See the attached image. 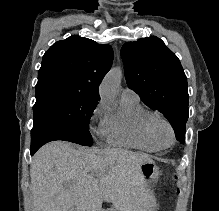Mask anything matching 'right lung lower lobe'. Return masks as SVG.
Returning <instances> with one entry per match:
<instances>
[{
	"instance_id": "1",
	"label": "right lung lower lobe",
	"mask_w": 219,
	"mask_h": 211,
	"mask_svg": "<svg viewBox=\"0 0 219 211\" xmlns=\"http://www.w3.org/2000/svg\"><path fill=\"white\" fill-rule=\"evenodd\" d=\"M54 140H64L77 144L80 143V138L73 134L57 130L39 129L36 132L31 131V155L44 144Z\"/></svg>"
}]
</instances>
